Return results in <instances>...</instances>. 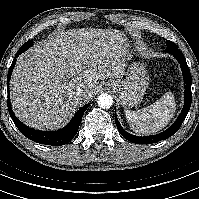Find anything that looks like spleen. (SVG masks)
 I'll return each mask as SVG.
<instances>
[{
	"mask_svg": "<svg viewBox=\"0 0 199 199\" xmlns=\"http://www.w3.org/2000/svg\"><path fill=\"white\" fill-rule=\"evenodd\" d=\"M175 99L171 92L142 110H125V117L130 127L139 134H152L164 128L176 110Z\"/></svg>",
	"mask_w": 199,
	"mask_h": 199,
	"instance_id": "spleen-1",
	"label": "spleen"
}]
</instances>
